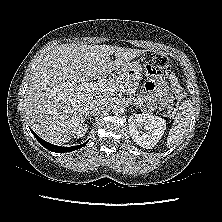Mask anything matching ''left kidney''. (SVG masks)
<instances>
[{
  "instance_id": "5707ae66",
  "label": "left kidney",
  "mask_w": 222,
  "mask_h": 222,
  "mask_svg": "<svg viewBox=\"0 0 222 222\" xmlns=\"http://www.w3.org/2000/svg\"><path fill=\"white\" fill-rule=\"evenodd\" d=\"M130 135L139 146L151 149L162 138L166 121L150 113L131 115L128 119Z\"/></svg>"
}]
</instances>
